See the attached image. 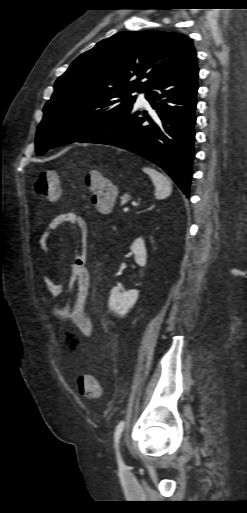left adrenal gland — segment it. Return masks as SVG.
Listing matches in <instances>:
<instances>
[{
    "label": "left adrenal gland",
    "mask_w": 247,
    "mask_h": 513,
    "mask_svg": "<svg viewBox=\"0 0 247 513\" xmlns=\"http://www.w3.org/2000/svg\"><path fill=\"white\" fill-rule=\"evenodd\" d=\"M153 208H154V205H152L148 210H151V209H153Z\"/></svg>",
    "instance_id": "left-adrenal-gland-1"
}]
</instances>
